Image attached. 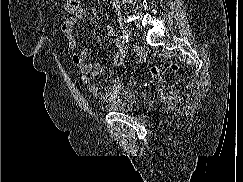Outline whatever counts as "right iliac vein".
Returning a JSON list of instances; mask_svg holds the SVG:
<instances>
[{
  "label": "right iliac vein",
  "instance_id": "63e3f726",
  "mask_svg": "<svg viewBox=\"0 0 243 182\" xmlns=\"http://www.w3.org/2000/svg\"><path fill=\"white\" fill-rule=\"evenodd\" d=\"M120 29H121V32L123 35H126V36H131L132 34V31L130 30V28L125 25L124 23H120Z\"/></svg>",
  "mask_w": 243,
  "mask_h": 182
}]
</instances>
